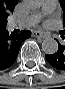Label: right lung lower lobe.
<instances>
[{"label":"right lung lower lobe","mask_w":65,"mask_h":89,"mask_svg":"<svg viewBox=\"0 0 65 89\" xmlns=\"http://www.w3.org/2000/svg\"><path fill=\"white\" fill-rule=\"evenodd\" d=\"M31 37L30 31H22L18 35H9L5 27L0 28V71L9 68L16 60L20 46Z\"/></svg>","instance_id":"98d812e1"}]
</instances>
